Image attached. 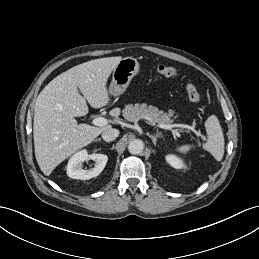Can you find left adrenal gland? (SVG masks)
Instances as JSON below:
<instances>
[{
    "mask_svg": "<svg viewBox=\"0 0 259 259\" xmlns=\"http://www.w3.org/2000/svg\"><path fill=\"white\" fill-rule=\"evenodd\" d=\"M147 135H148V137H150V138L152 139L154 145H156V143H157V138H158V132H157L156 134H154V135H151V134H149V133H148Z\"/></svg>",
    "mask_w": 259,
    "mask_h": 259,
    "instance_id": "left-adrenal-gland-1",
    "label": "left adrenal gland"
}]
</instances>
